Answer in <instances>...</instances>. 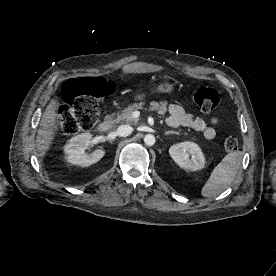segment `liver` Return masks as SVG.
I'll use <instances>...</instances> for the list:
<instances>
[{"label":"liver","instance_id":"1","mask_svg":"<svg viewBox=\"0 0 276 276\" xmlns=\"http://www.w3.org/2000/svg\"><path fill=\"white\" fill-rule=\"evenodd\" d=\"M124 73H150L163 70L161 66L147 64L143 62H134L122 67ZM56 100H51L40 121V127L37 132L36 145L39 156H45L52 140L54 139V126L56 122Z\"/></svg>","mask_w":276,"mask_h":276}]
</instances>
